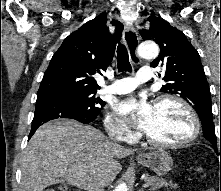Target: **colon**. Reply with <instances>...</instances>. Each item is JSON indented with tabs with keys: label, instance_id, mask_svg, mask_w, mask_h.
Instances as JSON below:
<instances>
[{
	"label": "colon",
	"instance_id": "colon-1",
	"mask_svg": "<svg viewBox=\"0 0 221 191\" xmlns=\"http://www.w3.org/2000/svg\"><path fill=\"white\" fill-rule=\"evenodd\" d=\"M46 191H66L65 186H59L57 189H48ZM207 191H214L213 189H208Z\"/></svg>",
	"mask_w": 221,
	"mask_h": 191
}]
</instances>
